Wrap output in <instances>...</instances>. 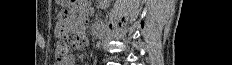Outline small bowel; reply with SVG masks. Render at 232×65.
<instances>
[{
  "label": "small bowel",
  "instance_id": "1",
  "mask_svg": "<svg viewBox=\"0 0 232 65\" xmlns=\"http://www.w3.org/2000/svg\"><path fill=\"white\" fill-rule=\"evenodd\" d=\"M56 16L57 29L54 30L55 37H61L64 44L72 43V47H83L87 45V41L81 39L77 41V38L84 37L82 33H73L71 31H78V26H73V23H69V17H79V12H58ZM74 57L70 55L65 61L58 62L57 65H74Z\"/></svg>",
  "mask_w": 232,
  "mask_h": 65
}]
</instances>
